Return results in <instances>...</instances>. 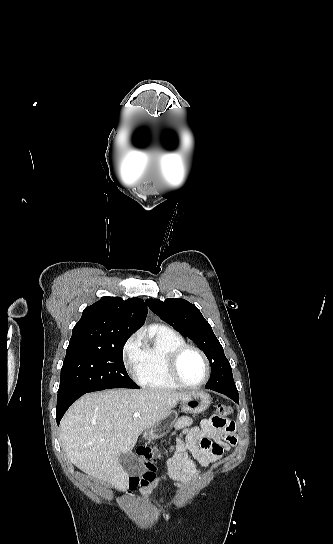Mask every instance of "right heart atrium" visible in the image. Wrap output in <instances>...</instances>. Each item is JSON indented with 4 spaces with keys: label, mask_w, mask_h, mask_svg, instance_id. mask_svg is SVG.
<instances>
[{
    "label": "right heart atrium",
    "mask_w": 333,
    "mask_h": 544,
    "mask_svg": "<svg viewBox=\"0 0 333 544\" xmlns=\"http://www.w3.org/2000/svg\"><path fill=\"white\" fill-rule=\"evenodd\" d=\"M141 348V337L138 333L131 335L123 345L122 360L125 369L131 375H136Z\"/></svg>",
    "instance_id": "obj_1"
}]
</instances>
